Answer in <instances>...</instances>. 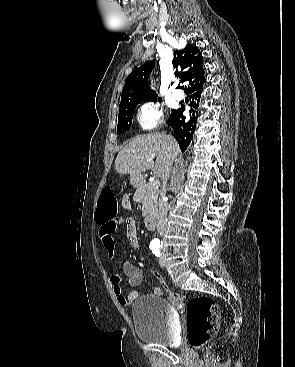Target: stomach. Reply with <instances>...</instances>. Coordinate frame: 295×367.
<instances>
[{
	"label": "stomach",
	"mask_w": 295,
	"mask_h": 367,
	"mask_svg": "<svg viewBox=\"0 0 295 367\" xmlns=\"http://www.w3.org/2000/svg\"><path fill=\"white\" fill-rule=\"evenodd\" d=\"M130 182L134 187L139 188L140 186L144 184V178L142 175L133 174V175H130Z\"/></svg>",
	"instance_id": "1"
}]
</instances>
